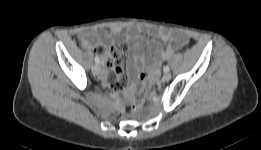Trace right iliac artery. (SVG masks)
I'll list each match as a JSON object with an SVG mask.
<instances>
[{
	"label": "right iliac artery",
	"instance_id": "82829eb1",
	"mask_svg": "<svg viewBox=\"0 0 261 150\" xmlns=\"http://www.w3.org/2000/svg\"><path fill=\"white\" fill-rule=\"evenodd\" d=\"M95 62L98 64L100 62V59L98 56L95 57Z\"/></svg>",
	"mask_w": 261,
	"mask_h": 150
}]
</instances>
